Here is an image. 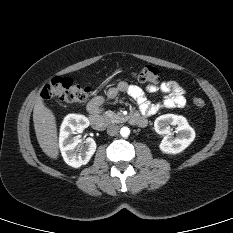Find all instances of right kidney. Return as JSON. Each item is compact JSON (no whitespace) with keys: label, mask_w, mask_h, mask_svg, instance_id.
Instances as JSON below:
<instances>
[{"label":"right kidney","mask_w":233,"mask_h":233,"mask_svg":"<svg viewBox=\"0 0 233 233\" xmlns=\"http://www.w3.org/2000/svg\"><path fill=\"white\" fill-rule=\"evenodd\" d=\"M89 126V120L83 115H67L60 127L59 147L64 161L74 168H79L89 162L96 151V142L87 138L81 146V140L74 134Z\"/></svg>","instance_id":"ca27d5eb"}]
</instances>
